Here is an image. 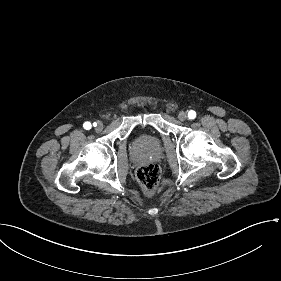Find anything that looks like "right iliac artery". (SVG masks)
Wrapping results in <instances>:
<instances>
[{"instance_id":"obj_1","label":"right iliac artery","mask_w":281,"mask_h":281,"mask_svg":"<svg viewBox=\"0 0 281 281\" xmlns=\"http://www.w3.org/2000/svg\"><path fill=\"white\" fill-rule=\"evenodd\" d=\"M93 125L96 126V123H94ZM83 126H84V128L86 130H89L91 128V123L90 122H85Z\"/></svg>"}]
</instances>
